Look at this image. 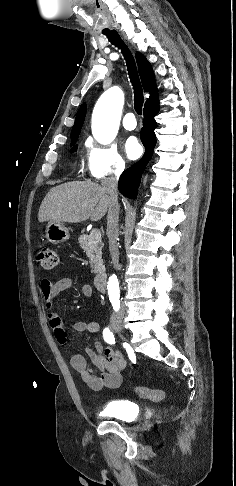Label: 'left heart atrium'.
Here are the masks:
<instances>
[{
  "label": "left heart atrium",
  "instance_id": "1",
  "mask_svg": "<svg viewBox=\"0 0 236 486\" xmlns=\"http://www.w3.org/2000/svg\"><path fill=\"white\" fill-rule=\"evenodd\" d=\"M125 152L130 159H136L141 155L142 147L135 137H130L125 142Z\"/></svg>",
  "mask_w": 236,
  "mask_h": 486
}]
</instances>
